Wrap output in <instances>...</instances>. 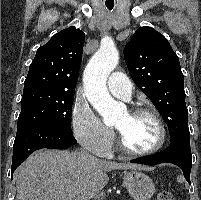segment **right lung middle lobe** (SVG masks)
<instances>
[{"instance_id": "1", "label": "right lung middle lobe", "mask_w": 201, "mask_h": 200, "mask_svg": "<svg viewBox=\"0 0 201 200\" xmlns=\"http://www.w3.org/2000/svg\"><path fill=\"white\" fill-rule=\"evenodd\" d=\"M74 94L58 91H30L23 93L21 113L17 126L43 121L71 130V113Z\"/></svg>"}]
</instances>
